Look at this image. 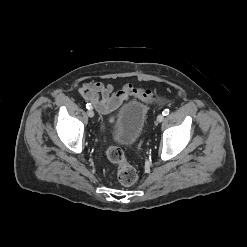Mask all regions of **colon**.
<instances>
[{"label": "colon", "instance_id": "obj_1", "mask_svg": "<svg viewBox=\"0 0 247 247\" xmlns=\"http://www.w3.org/2000/svg\"><path fill=\"white\" fill-rule=\"evenodd\" d=\"M107 159L118 165L116 179L125 186L133 185L138 178L137 171L126 160L125 154L120 147L111 146L106 152Z\"/></svg>", "mask_w": 247, "mask_h": 247}]
</instances>
